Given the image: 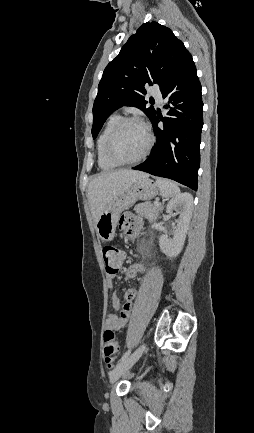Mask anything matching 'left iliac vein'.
Returning <instances> with one entry per match:
<instances>
[{"label": "left iliac vein", "mask_w": 254, "mask_h": 433, "mask_svg": "<svg viewBox=\"0 0 254 433\" xmlns=\"http://www.w3.org/2000/svg\"><path fill=\"white\" fill-rule=\"evenodd\" d=\"M146 349V345L139 346L131 355L120 362L110 374V383H115L122 375H124L142 356Z\"/></svg>", "instance_id": "obj_1"}]
</instances>
